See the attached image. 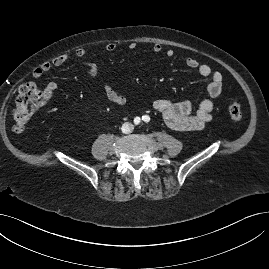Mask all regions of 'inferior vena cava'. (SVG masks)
<instances>
[{
  "label": "inferior vena cava",
  "instance_id": "1",
  "mask_svg": "<svg viewBox=\"0 0 269 269\" xmlns=\"http://www.w3.org/2000/svg\"><path fill=\"white\" fill-rule=\"evenodd\" d=\"M133 128L134 126L131 123H124L121 129L123 133L128 134L132 132Z\"/></svg>",
  "mask_w": 269,
  "mask_h": 269
}]
</instances>
